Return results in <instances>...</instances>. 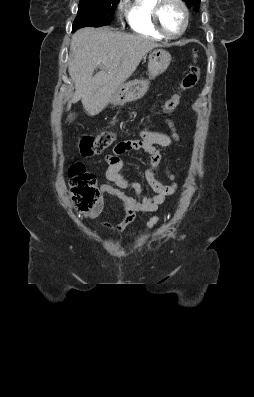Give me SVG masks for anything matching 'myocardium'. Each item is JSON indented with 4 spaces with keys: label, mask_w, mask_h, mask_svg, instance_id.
I'll list each match as a JSON object with an SVG mask.
<instances>
[{
    "label": "myocardium",
    "mask_w": 254,
    "mask_h": 397,
    "mask_svg": "<svg viewBox=\"0 0 254 397\" xmlns=\"http://www.w3.org/2000/svg\"><path fill=\"white\" fill-rule=\"evenodd\" d=\"M167 2H174L180 6L183 12V25L181 30L177 34H169L164 27L162 26L161 23V11L163 6ZM153 23L156 28V30L164 37L167 39H177L180 38L187 30L188 25H189V10L186 4L184 3L183 0H157V3L154 6L153 9Z\"/></svg>",
    "instance_id": "myocardium-1"
}]
</instances>
